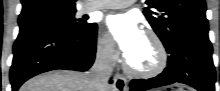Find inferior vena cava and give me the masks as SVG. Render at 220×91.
<instances>
[{
    "label": "inferior vena cava",
    "instance_id": "inferior-vena-cava-1",
    "mask_svg": "<svg viewBox=\"0 0 220 91\" xmlns=\"http://www.w3.org/2000/svg\"><path fill=\"white\" fill-rule=\"evenodd\" d=\"M112 52L111 44L102 47L97 52L95 62L88 72L93 91H106L109 87L108 81L113 71Z\"/></svg>",
    "mask_w": 220,
    "mask_h": 91
}]
</instances>
